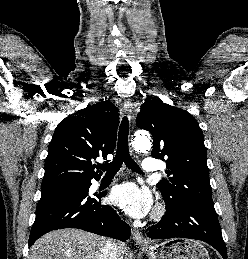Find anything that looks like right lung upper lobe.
Returning <instances> with one entry per match:
<instances>
[{
    "instance_id": "cb5924a9",
    "label": "right lung upper lobe",
    "mask_w": 248,
    "mask_h": 259,
    "mask_svg": "<svg viewBox=\"0 0 248 259\" xmlns=\"http://www.w3.org/2000/svg\"><path fill=\"white\" fill-rule=\"evenodd\" d=\"M117 111L111 102L105 101L65 118L49 144L41 185L99 178L94 160L99 156L106 158L115 148Z\"/></svg>"
}]
</instances>
